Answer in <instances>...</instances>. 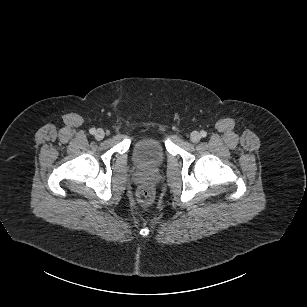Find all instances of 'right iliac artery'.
Wrapping results in <instances>:
<instances>
[{"mask_svg":"<svg viewBox=\"0 0 307 307\" xmlns=\"http://www.w3.org/2000/svg\"><path fill=\"white\" fill-rule=\"evenodd\" d=\"M89 132H90V134H95V132H96V130H95V128H91L90 130H89Z\"/></svg>","mask_w":307,"mask_h":307,"instance_id":"1","label":"right iliac artery"}]
</instances>
